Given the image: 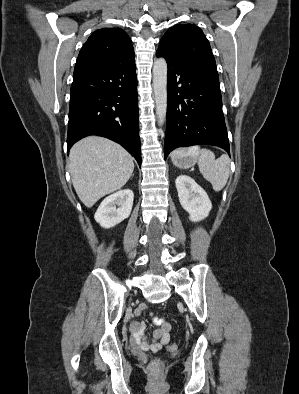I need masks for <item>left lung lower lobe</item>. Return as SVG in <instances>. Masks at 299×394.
<instances>
[{
    "label": "left lung lower lobe",
    "mask_w": 299,
    "mask_h": 394,
    "mask_svg": "<svg viewBox=\"0 0 299 394\" xmlns=\"http://www.w3.org/2000/svg\"><path fill=\"white\" fill-rule=\"evenodd\" d=\"M167 65L165 159L175 148L197 144L219 146L230 154L216 65Z\"/></svg>",
    "instance_id": "0a47b994"
}]
</instances>
